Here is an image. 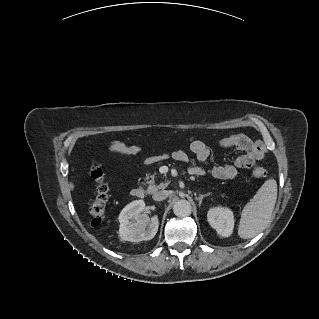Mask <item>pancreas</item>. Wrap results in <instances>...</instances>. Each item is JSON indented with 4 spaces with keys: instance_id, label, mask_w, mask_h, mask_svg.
<instances>
[{
    "instance_id": "pancreas-1",
    "label": "pancreas",
    "mask_w": 319,
    "mask_h": 319,
    "mask_svg": "<svg viewBox=\"0 0 319 319\" xmlns=\"http://www.w3.org/2000/svg\"><path fill=\"white\" fill-rule=\"evenodd\" d=\"M148 184L147 193L153 194L157 190L165 189L168 186V181L162 182L159 185L155 184V176L151 175L150 180L146 182Z\"/></svg>"
}]
</instances>
